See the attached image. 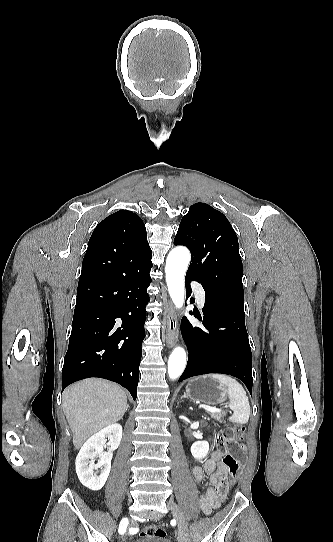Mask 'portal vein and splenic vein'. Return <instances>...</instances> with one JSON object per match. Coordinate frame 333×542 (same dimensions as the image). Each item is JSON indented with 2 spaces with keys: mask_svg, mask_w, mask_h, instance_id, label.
<instances>
[{
  "mask_svg": "<svg viewBox=\"0 0 333 542\" xmlns=\"http://www.w3.org/2000/svg\"><path fill=\"white\" fill-rule=\"evenodd\" d=\"M199 408H204V410H207V412H212V414H215V412H223V410H219V408H212V406H199Z\"/></svg>",
  "mask_w": 333,
  "mask_h": 542,
  "instance_id": "obj_1",
  "label": "portal vein and splenic vein"
}]
</instances>
